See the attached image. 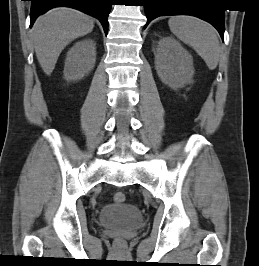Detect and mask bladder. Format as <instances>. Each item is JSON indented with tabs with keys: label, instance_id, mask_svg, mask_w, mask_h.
I'll return each instance as SVG.
<instances>
[{
	"label": "bladder",
	"instance_id": "31cf9c89",
	"mask_svg": "<svg viewBox=\"0 0 259 266\" xmlns=\"http://www.w3.org/2000/svg\"><path fill=\"white\" fill-rule=\"evenodd\" d=\"M101 226L122 230H133L142 226L143 215L134 205L119 203L102 208L98 216Z\"/></svg>",
	"mask_w": 259,
	"mask_h": 266
}]
</instances>
